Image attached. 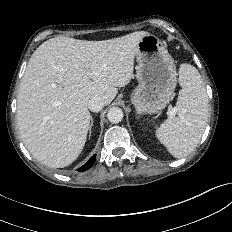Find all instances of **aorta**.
Returning <instances> with one entry per match:
<instances>
[{
	"instance_id": "aorta-1",
	"label": "aorta",
	"mask_w": 232,
	"mask_h": 232,
	"mask_svg": "<svg viewBox=\"0 0 232 232\" xmlns=\"http://www.w3.org/2000/svg\"><path fill=\"white\" fill-rule=\"evenodd\" d=\"M123 111L121 108L118 107H112L111 109H109L108 113H107V118L111 123H119L122 121L123 119Z\"/></svg>"
}]
</instances>
